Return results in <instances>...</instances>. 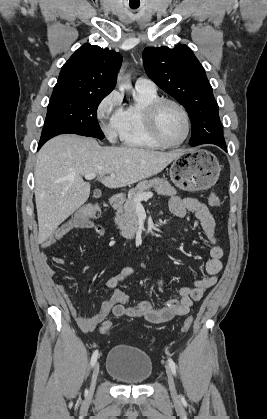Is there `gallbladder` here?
I'll return each mask as SVG.
<instances>
[{
    "label": "gallbladder",
    "instance_id": "gallbladder-1",
    "mask_svg": "<svg viewBox=\"0 0 267 419\" xmlns=\"http://www.w3.org/2000/svg\"><path fill=\"white\" fill-rule=\"evenodd\" d=\"M94 194H95L96 197H99V196H101V191L100 190H96L94 192Z\"/></svg>",
    "mask_w": 267,
    "mask_h": 419
}]
</instances>
